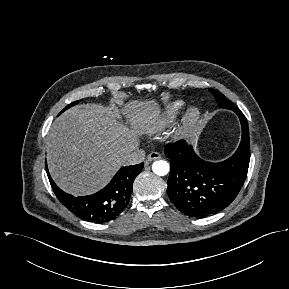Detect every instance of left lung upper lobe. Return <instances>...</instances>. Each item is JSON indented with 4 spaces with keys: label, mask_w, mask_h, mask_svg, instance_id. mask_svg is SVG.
Returning <instances> with one entry per match:
<instances>
[{
    "label": "left lung upper lobe",
    "mask_w": 289,
    "mask_h": 289,
    "mask_svg": "<svg viewBox=\"0 0 289 289\" xmlns=\"http://www.w3.org/2000/svg\"><path fill=\"white\" fill-rule=\"evenodd\" d=\"M209 91L213 94V96L216 98V101L218 105L222 108L231 109L233 111H238L239 109L231 102L229 101L222 93L214 90L209 89Z\"/></svg>",
    "instance_id": "5c2ea615"
}]
</instances>
